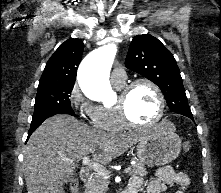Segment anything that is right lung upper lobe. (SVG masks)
Listing matches in <instances>:
<instances>
[{"label": "right lung upper lobe", "mask_w": 221, "mask_h": 193, "mask_svg": "<svg viewBox=\"0 0 221 193\" xmlns=\"http://www.w3.org/2000/svg\"><path fill=\"white\" fill-rule=\"evenodd\" d=\"M83 50L80 39L70 38L62 43L48 60L38 87L74 85Z\"/></svg>", "instance_id": "1"}]
</instances>
